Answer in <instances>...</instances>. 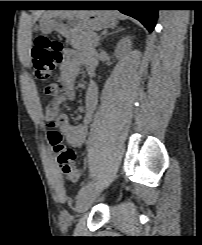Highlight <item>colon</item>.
Instances as JSON below:
<instances>
[{"label": "colon", "mask_w": 202, "mask_h": 245, "mask_svg": "<svg viewBox=\"0 0 202 245\" xmlns=\"http://www.w3.org/2000/svg\"><path fill=\"white\" fill-rule=\"evenodd\" d=\"M34 74L38 81H47L55 69L62 62V46L59 41L52 40L46 35L38 36L34 40L31 52ZM54 92L52 86L47 87L46 95ZM48 138L56 154L59 170L64 178L77 182L82 175L81 169L75 163L76 154L63 143L61 133L56 129L53 121L47 123Z\"/></svg>", "instance_id": "obj_1"}]
</instances>
